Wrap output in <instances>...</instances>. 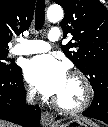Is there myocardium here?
<instances>
[{"instance_id":"1","label":"myocardium","mask_w":108,"mask_h":127,"mask_svg":"<svg viewBox=\"0 0 108 127\" xmlns=\"http://www.w3.org/2000/svg\"><path fill=\"white\" fill-rule=\"evenodd\" d=\"M69 77L77 80L81 86L82 97L80 102L76 105L69 106V105H64L59 100L54 98L52 100V103L57 110L63 113L76 114V113L83 112L90 106L91 101L93 99L92 86L89 80L87 79V77L80 71L70 72Z\"/></svg>"}]
</instances>
